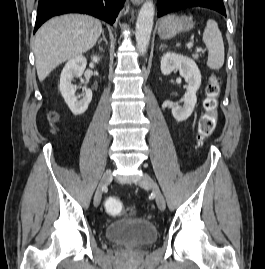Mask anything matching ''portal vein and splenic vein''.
<instances>
[{"mask_svg":"<svg viewBox=\"0 0 265 269\" xmlns=\"http://www.w3.org/2000/svg\"><path fill=\"white\" fill-rule=\"evenodd\" d=\"M186 46H187V48L190 49V48L193 47V43H192V42L187 43ZM197 52H204V49H202V48H197Z\"/></svg>","mask_w":265,"mask_h":269,"instance_id":"1","label":"portal vein and splenic vein"}]
</instances>
